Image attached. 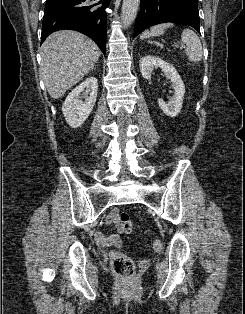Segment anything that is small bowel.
I'll return each mask as SVG.
<instances>
[{"mask_svg":"<svg viewBox=\"0 0 245 314\" xmlns=\"http://www.w3.org/2000/svg\"><path fill=\"white\" fill-rule=\"evenodd\" d=\"M118 210L113 209L106 217V223L108 225L115 224L118 232H122L120 229L118 220H117ZM95 240L101 246H120L122 244V240L117 233L106 235L103 232L97 231L95 232Z\"/></svg>","mask_w":245,"mask_h":314,"instance_id":"small-bowel-1","label":"small bowel"}]
</instances>
